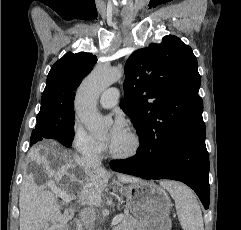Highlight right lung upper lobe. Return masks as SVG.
Masks as SVG:
<instances>
[{"label":"right lung upper lobe","mask_w":241,"mask_h":230,"mask_svg":"<svg viewBox=\"0 0 241 230\" xmlns=\"http://www.w3.org/2000/svg\"><path fill=\"white\" fill-rule=\"evenodd\" d=\"M96 62V56L86 52H68L58 60L48 74L40 112H74V90Z\"/></svg>","instance_id":"obj_1"}]
</instances>
